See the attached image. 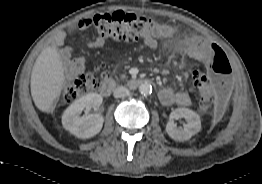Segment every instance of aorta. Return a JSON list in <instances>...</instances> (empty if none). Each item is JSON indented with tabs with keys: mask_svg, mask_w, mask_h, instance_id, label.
Listing matches in <instances>:
<instances>
[{
	"mask_svg": "<svg viewBox=\"0 0 262 184\" xmlns=\"http://www.w3.org/2000/svg\"><path fill=\"white\" fill-rule=\"evenodd\" d=\"M139 92L142 95L147 96L152 92V86L149 83H142L139 86Z\"/></svg>",
	"mask_w": 262,
	"mask_h": 184,
	"instance_id": "762f6f07",
	"label": "aorta"
}]
</instances>
